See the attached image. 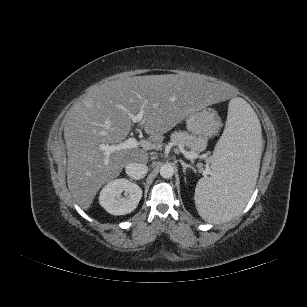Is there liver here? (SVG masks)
<instances>
[{
  "label": "liver",
  "mask_w": 307,
  "mask_h": 307,
  "mask_svg": "<svg viewBox=\"0 0 307 307\" xmlns=\"http://www.w3.org/2000/svg\"><path fill=\"white\" fill-rule=\"evenodd\" d=\"M232 97L227 86L190 73L134 76L89 87L68 111L64 126L67 183L74 200L87 210L99 189L124 167L147 163V151L187 115L210 104L228 103ZM141 110L149 138L140 147L113 152L105 164L99 145L124 140L133 126L131 115Z\"/></svg>",
  "instance_id": "obj_1"
}]
</instances>
